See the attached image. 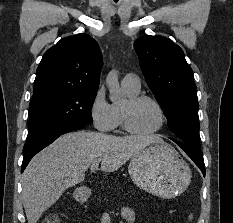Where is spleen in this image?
Masks as SVG:
<instances>
[{
  "mask_svg": "<svg viewBox=\"0 0 233 223\" xmlns=\"http://www.w3.org/2000/svg\"><path fill=\"white\" fill-rule=\"evenodd\" d=\"M189 219H190V221H191V219H193V213H190Z\"/></svg>",
  "mask_w": 233,
  "mask_h": 223,
  "instance_id": "1",
  "label": "spleen"
}]
</instances>
